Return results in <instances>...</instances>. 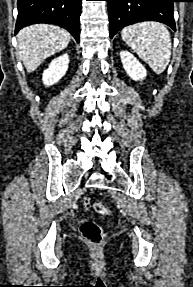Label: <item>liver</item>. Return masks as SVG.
<instances>
[{
  "label": "liver",
  "mask_w": 193,
  "mask_h": 287,
  "mask_svg": "<svg viewBox=\"0 0 193 287\" xmlns=\"http://www.w3.org/2000/svg\"><path fill=\"white\" fill-rule=\"evenodd\" d=\"M71 35L63 28L36 24L23 28L17 35L19 56L31 73L53 54L65 49Z\"/></svg>",
  "instance_id": "1"
}]
</instances>
